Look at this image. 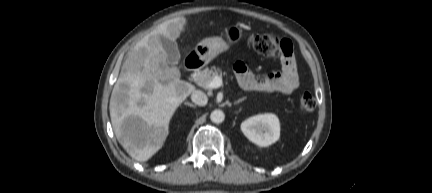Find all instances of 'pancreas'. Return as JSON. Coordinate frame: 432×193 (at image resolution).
Returning <instances> with one entry per match:
<instances>
[{"label": "pancreas", "instance_id": "1", "mask_svg": "<svg viewBox=\"0 0 432 193\" xmlns=\"http://www.w3.org/2000/svg\"><path fill=\"white\" fill-rule=\"evenodd\" d=\"M225 73L218 67L212 66L211 68H205L194 74L193 79L195 83L201 87L208 88V84L212 81L215 76H222Z\"/></svg>", "mask_w": 432, "mask_h": 193}]
</instances>
